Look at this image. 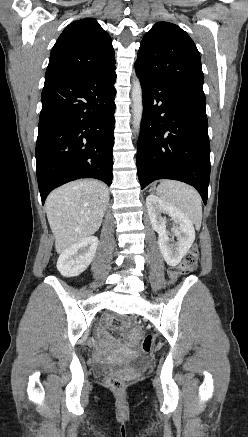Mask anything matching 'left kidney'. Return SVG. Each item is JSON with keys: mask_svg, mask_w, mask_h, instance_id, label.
Masks as SVG:
<instances>
[{"mask_svg": "<svg viewBox=\"0 0 248 437\" xmlns=\"http://www.w3.org/2000/svg\"><path fill=\"white\" fill-rule=\"evenodd\" d=\"M146 206L152 228L159 235L158 245L164 260L170 266L178 265L195 240L192 222L184 213L158 196H147ZM162 213H166L172 218L175 224L172 231L177 237V242L169 238L166 230V219L162 217Z\"/></svg>", "mask_w": 248, "mask_h": 437, "instance_id": "obj_1", "label": "left kidney"}]
</instances>
